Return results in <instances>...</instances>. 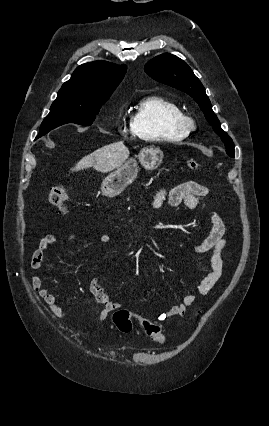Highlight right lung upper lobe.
I'll return each instance as SVG.
<instances>
[{"mask_svg":"<svg viewBox=\"0 0 269 426\" xmlns=\"http://www.w3.org/2000/svg\"><path fill=\"white\" fill-rule=\"evenodd\" d=\"M127 67L106 61L79 66L58 94H77L83 97L110 96L123 79Z\"/></svg>","mask_w":269,"mask_h":426,"instance_id":"obj_1","label":"right lung upper lobe"}]
</instances>
